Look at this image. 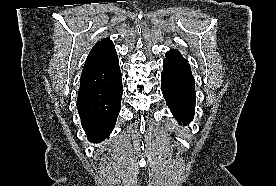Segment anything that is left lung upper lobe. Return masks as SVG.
<instances>
[{"label": "left lung upper lobe", "mask_w": 276, "mask_h": 186, "mask_svg": "<svg viewBox=\"0 0 276 186\" xmlns=\"http://www.w3.org/2000/svg\"><path fill=\"white\" fill-rule=\"evenodd\" d=\"M166 59L187 62V60L183 59L181 53L176 49L169 50L166 53Z\"/></svg>", "instance_id": "obj_1"}]
</instances>
